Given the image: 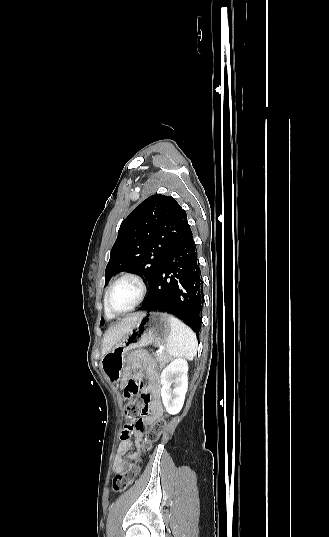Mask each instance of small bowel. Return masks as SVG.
Wrapping results in <instances>:
<instances>
[{
  "label": "small bowel",
  "instance_id": "small-bowel-1",
  "mask_svg": "<svg viewBox=\"0 0 329 537\" xmlns=\"http://www.w3.org/2000/svg\"><path fill=\"white\" fill-rule=\"evenodd\" d=\"M128 373L131 379L123 385L120 396L122 399L127 400L130 396H138L144 390L150 396L145 406V411L149 412L145 418V423L152 425L163 415V406L160 399L161 383L157 367L147 353L135 352L128 359ZM141 380H146L145 387ZM141 441L140 431L124 428L113 462L115 473H123L130 461L140 457Z\"/></svg>",
  "mask_w": 329,
  "mask_h": 537
}]
</instances>
